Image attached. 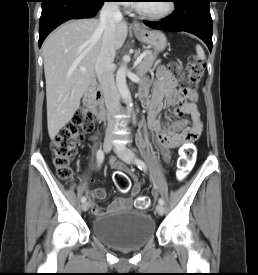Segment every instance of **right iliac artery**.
<instances>
[{
	"mask_svg": "<svg viewBox=\"0 0 258 275\" xmlns=\"http://www.w3.org/2000/svg\"><path fill=\"white\" fill-rule=\"evenodd\" d=\"M103 160H104V153H103V151H102L101 149H99V150L97 151V162H98V166H100V165L102 164ZM81 201H82V202H85V201H86V197L83 196V197L81 198Z\"/></svg>",
	"mask_w": 258,
	"mask_h": 275,
	"instance_id": "obj_1",
	"label": "right iliac artery"
}]
</instances>
